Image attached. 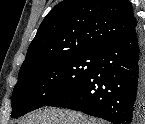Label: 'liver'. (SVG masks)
Returning <instances> with one entry per match:
<instances>
[{
  "mask_svg": "<svg viewBox=\"0 0 145 124\" xmlns=\"http://www.w3.org/2000/svg\"><path fill=\"white\" fill-rule=\"evenodd\" d=\"M20 124H101L87 116L70 110L45 109L30 114Z\"/></svg>",
  "mask_w": 145,
  "mask_h": 124,
  "instance_id": "1",
  "label": "liver"
}]
</instances>
